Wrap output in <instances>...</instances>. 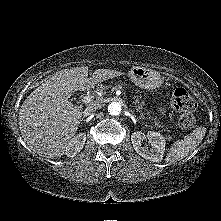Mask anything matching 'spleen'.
Here are the masks:
<instances>
[{
  "label": "spleen",
  "instance_id": "1",
  "mask_svg": "<svg viewBox=\"0 0 221 221\" xmlns=\"http://www.w3.org/2000/svg\"><path fill=\"white\" fill-rule=\"evenodd\" d=\"M206 128L198 127L183 139L177 140L170 148L166 162L173 163L187 157L203 140Z\"/></svg>",
  "mask_w": 221,
  "mask_h": 221
}]
</instances>
